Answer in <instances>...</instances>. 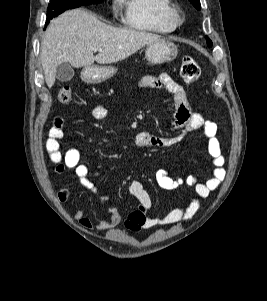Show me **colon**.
Instances as JSON below:
<instances>
[{
    "mask_svg": "<svg viewBox=\"0 0 267 301\" xmlns=\"http://www.w3.org/2000/svg\"><path fill=\"white\" fill-rule=\"evenodd\" d=\"M180 75L182 80L187 84H192L200 76V68L198 63L190 56H185L182 59L180 66ZM58 100L59 102L66 104L69 103L72 99V91L70 87L63 86L58 91Z\"/></svg>",
    "mask_w": 267,
    "mask_h": 301,
    "instance_id": "5ec220e1",
    "label": "colon"
}]
</instances>
